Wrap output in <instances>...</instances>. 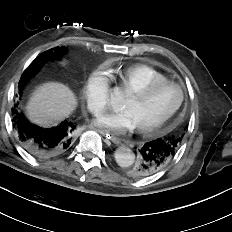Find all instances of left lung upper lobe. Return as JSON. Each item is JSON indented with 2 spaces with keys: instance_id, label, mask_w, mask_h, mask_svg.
Returning a JSON list of instances; mask_svg holds the SVG:
<instances>
[{
  "instance_id": "5c2ea615",
  "label": "left lung upper lobe",
  "mask_w": 232,
  "mask_h": 232,
  "mask_svg": "<svg viewBox=\"0 0 232 232\" xmlns=\"http://www.w3.org/2000/svg\"><path fill=\"white\" fill-rule=\"evenodd\" d=\"M162 139L165 140L166 142H168L177 151L178 148H179V146H180V144H181L182 136H180V135H169V136H166V137H164ZM133 166H130V167H128L126 169L127 174L129 176H131V177H133V175L131 174V168Z\"/></svg>"
}]
</instances>
